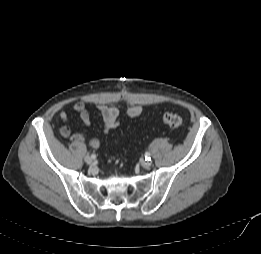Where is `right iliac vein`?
<instances>
[{
    "label": "right iliac vein",
    "mask_w": 261,
    "mask_h": 254,
    "mask_svg": "<svg viewBox=\"0 0 261 254\" xmlns=\"http://www.w3.org/2000/svg\"><path fill=\"white\" fill-rule=\"evenodd\" d=\"M84 160L87 164H91L93 162L92 157H90L89 155L85 156Z\"/></svg>",
    "instance_id": "1"
}]
</instances>
